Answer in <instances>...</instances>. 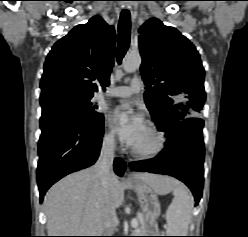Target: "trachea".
Returning a JSON list of instances; mask_svg holds the SVG:
<instances>
[{"instance_id":"obj_1","label":"trachea","mask_w":248,"mask_h":237,"mask_svg":"<svg viewBox=\"0 0 248 237\" xmlns=\"http://www.w3.org/2000/svg\"><path fill=\"white\" fill-rule=\"evenodd\" d=\"M131 35V16L128 10H122L120 21L118 25V48H117V62L120 64L122 58L126 54L130 44Z\"/></svg>"}]
</instances>
